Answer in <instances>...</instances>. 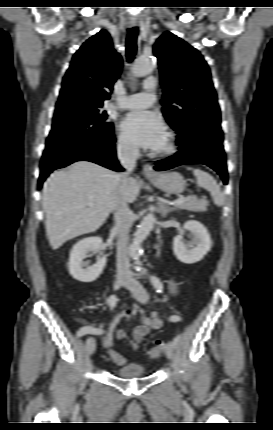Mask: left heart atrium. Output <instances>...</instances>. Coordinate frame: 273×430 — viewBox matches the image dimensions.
<instances>
[{
  "label": "left heart atrium",
  "instance_id": "left-heart-atrium-1",
  "mask_svg": "<svg viewBox=\"0 0 273 430\" xmlns=\"http://www.w3.org/2000/svg\"><path fill=\"white\" fill-rule=\"evenodd\" d=\"M120 127L130 143L145 149L160 150L166 140V129L162 119L151 111L127 114Z\"/></svg>",
  "mask_w": 273,
  "mask_h": 430
}]
</instances>
